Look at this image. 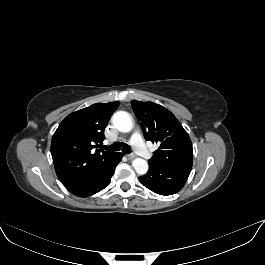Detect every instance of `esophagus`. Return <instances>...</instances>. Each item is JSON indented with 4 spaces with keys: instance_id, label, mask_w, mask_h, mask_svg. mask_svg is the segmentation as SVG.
Returning a JSON list of instances; mask_svg holds the SVG:
<instances>
[{
    "instance_id": "34e87169",
    "label": "esophagus",
    "mask_w": 265,
    "mask_h": 265,
    "mask_svg": "<svg viewBox=\"0 0 265 265\" xmlns=\"http://www.w3.org/2000/svg\"><path fill=\"white\" fill-rule=\"evenodd\" d=\"M127 158H128L129 160H133V159L135 158V155H133V154H129V155H127Z\"/></svg>"
}]
</instances>
